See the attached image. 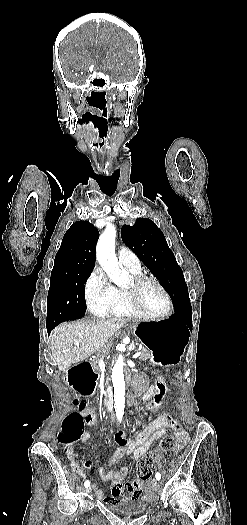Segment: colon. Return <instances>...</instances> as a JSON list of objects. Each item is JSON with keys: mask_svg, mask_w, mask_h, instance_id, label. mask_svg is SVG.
<instances>
[{"mask_svg": "<svg viewBox=\"0 0 247 525\" xmlns=\"http://www.w3.org/2000/svg\"><path fill=\"white\" fill-rule=\"evenodd\" d=\"M167 376L159 374L156 376L153 383L148 381L146 386L148 388L157 389L153 395L154 402L151 404L146 403L144 405L145 413L147 415H152L154 411L159 410L160 406L163 404V398L166 397L169 390ZM78 411L70 414L63 426L62 432L59 434L58 441L65 444V452H68L69 446L74 442L78 441L82 436L86 427H94L100 424V421L97 419L91 418L89 407L86 403L76 400ZM96 430H100V427H96ZM176 437L173 433H168L164 438L159 442L156 450L146 454L138 463L137 466V481H144L146 478L150 477L153 473L154 466L157 462L163 459V455L172 450L175 445Z\"/></svg>", "mask_w": 247, "mask_h": 525, "instance_id": "5ec220e1", "label": "colon"}]
</instances>
